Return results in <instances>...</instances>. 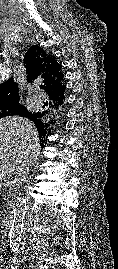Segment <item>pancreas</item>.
I'll return each mask as SVG.
<instances>
[{
    "label": "pancreas",
    "instance_id": "pancreas-1",
    "mask_svg": "<svg viewBox=\"0 0 118 269\" xmlns=\"http://www.w3.org/2000/svg\"><path fill=\"white\" fill-rule=\"evenodd\" d=\"M0 188H3V190L5 192V197H6V201H7V203L5 204V207L8 209V207H9L8 197H9V193L12 190V185L7 180H0Z\"/></svg>",
    "mask_w": 118,
    "mask_h": 269
}]
</instances>
